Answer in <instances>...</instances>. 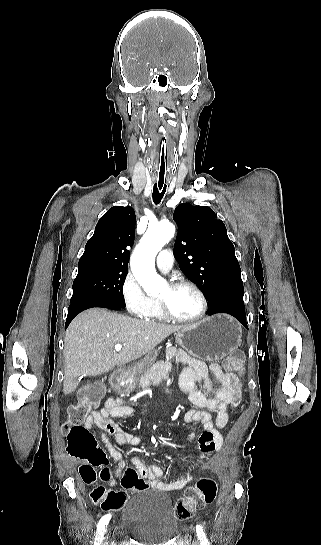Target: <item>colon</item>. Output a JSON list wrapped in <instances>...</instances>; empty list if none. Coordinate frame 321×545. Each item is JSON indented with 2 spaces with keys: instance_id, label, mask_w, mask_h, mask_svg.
Returning a JSON list of instances; mask_svg holds the SVG:
<instances>
[{
  "instance_id": "colon-1",
  "label": "colon",
  "mask_w": 321,
  "mask_h": 545,
  "mask_svg": "<svg viewBox=\"0 0 321 545\" xmlns=\"http://www.w3.org/2000/svg\"><path fill=\"white\" fill-rule=\"evenodd\" d=\"M226 373L233 377H239L243 372L242 356L232 351L224 360ZM103 386L91 384L84 387L78 394V401L68 411V417L63 425V434L67 438V451L70 455L87 460L102 458L104 452L98 445L96 437L85 426V420L91 410L96 408L103 396ZM122 487L135 493L145 490L148 483L136 470L127 469L121 478ZM217 495V484L212 478H201L196 485L188 488L183 497L176 502L175 513L178 519H188L196 510L212 503ZM90 498L105 511L121 509L126 501L127 494L124 491L106 489L94 484Z\"/></svg>"
}]
</instances>
